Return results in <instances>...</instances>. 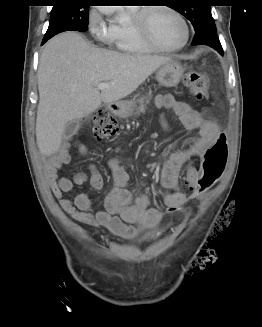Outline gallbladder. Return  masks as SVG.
I'll return each mask as SVG.
<instances>
[{
    "mask_svg": "<svg viewBox=\"0 0 262 327\" xmlns=\"http://www.w3.org/2000/svg\"><path fill=\"white\" fill-rule=\"evenodd\" d=\"M80 128V122L78 120L70 121L66 124L64 130V136L66 138L72 137Z\"/></svg>",
    "mask_w": 262,
    "mask_h": 327,
    "instance_id": "obj_1",
    "label": "gallbladder"
}]
</instances>
